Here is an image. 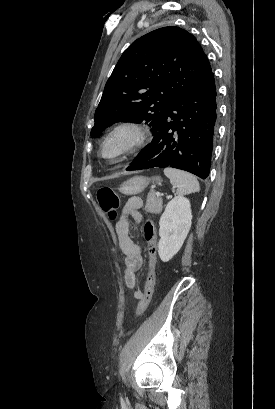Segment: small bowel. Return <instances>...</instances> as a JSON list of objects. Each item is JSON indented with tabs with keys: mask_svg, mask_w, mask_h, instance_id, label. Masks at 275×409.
<instances>
[{
	"mask_svg": "<svg viewBox=\"0 0 275 409\" xmlns=\"http://www.w3.org/2000/svg\"><path fill=\"white\" fill-rule=\"evenodd\" d=\"M142 205L140 197H130L123 207L121 219L115 225L118 245L123 255L125 285L135 298L142 295V291L136 288L135 273L141 268L143 257L140 245L130 235L129 217L139 222L142 217L139 212Z\"/></svg>",
	"mask_w": 275,
	"mask_h": 409,
	"instance_id": "obj_1",
	"label": "small bowel"
}]
</instances>
